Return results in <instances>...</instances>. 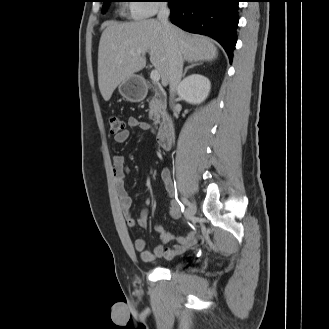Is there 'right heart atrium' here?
<instances>
[{
	"label": "right heart atrium",
	"instance_id": "1",
	"mask_svg": "<svg viewBox=\"0 0 329 329\" xmlns=\"http://www.w3.org/2000/svg\"><path fill=\"white\" fill-rule=\"evenodd\" d=\"M161 0H131L129 14L134 19H143L155 15L161 8Z\"/></svg>",
	"mask_w": 329,
	"mask_h": 329
}]
</instances>
